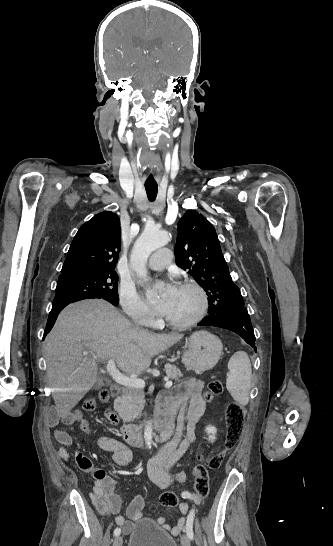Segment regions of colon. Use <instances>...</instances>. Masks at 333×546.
Segmentation results:
<instances>
[{
	"instance_id": "1",
	"label": "colon",
	"mask_w": 333,
	"mask_h": 546,
	"mask_svg": "<svg viewBox=\"0 0 333 546\" xmlns=\"http://www.w3.org/2000/svg\"><path fill=\"white\" fill-rule=\"evenodd\" d=\"M223 391V386L220 381L214 380L208 384V388L203 395L205 401H211ZM110 394L103 389L98 394V399L102 402L108 401ZM97 401L94 397L87 398L83 403V408L86 411H92L96 408ZM245 421V410L242 405L237 402H232L228 405L225 414L226 435L223 448L208 456L204 457L199 451L198 457L202 461L193 469L194 476V496L197 502L204 501L209 493V470H217L221 467L225 456L238 443ZM160 503L166 508H173L178 504V497L174 492L168 491L160 496Z\"/></svg>"
}]
</instances>
